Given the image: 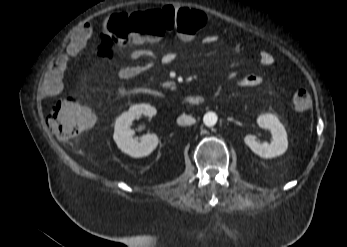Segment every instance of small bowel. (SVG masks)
<instances>
[{"label":"small bowel","instance_id":"small-bowel-1","mask_svg":"<svg viewBox=\"0 0 347 247\" xmlns=\"http://www.w3.org/2000/svg\"><path fill=\"white\" fill-rule=\"evenodd\" d=\"M91 32L92 27L90 23L83 24L79 27L69 38L65 53L48 65L44 73L43 82L47 94L55 95L60 91V78L66 68L69 58L86 45ZM218 40V35L209 34L204 37L203 42L205 44H215ZM129 57L139 62L117 68L115 74L116 77L121 80L136 78L154 66L157 60L163 64H170L175 61L176 54L174 52H165L157 59L156 55L148 49H134L129 52ZM258 58L260 65L264 69L270 68L275 62L273 55L267 51L260 52ZM235 77L236 74L233 75L232 78ZM262 81L263 78L258 73H248L242 77L243 84L249 87L259 86Z\"/></svg>","mask_w":347,"mask_h":247}]
</instances>
